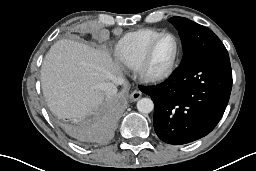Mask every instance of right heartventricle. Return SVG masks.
<instances>
[{
    "mask_svg": "<svg viewBox=\"0 0 256 171\" xmlns=\"http://www.w3.org/2000/svg\"><path fill=\"white\" fill-rule=\"evenodd\" d=\"M161 33L145 28L125 34L115 46L116 58L129 68H137L148 44Z\"/></svg>",
    "mask_w": 256,
    "mask_h": 171,
    "instance_id": "obj_1",
    "label": "right heart ventricle"
}]
</instances>
